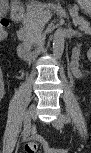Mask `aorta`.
Instances as JSON below:
<instances>
[{"instance_id":"1","label":"aorta","mask_w":91,"mask_h":153,"mask_svg":"<svg viewBox=\"0 0 91 153\" xmlns=\"http://www.w3.org/2000/svg\"><path fill=\"white\" fill-rule=\"evenodd\" d=\"M64 35L60 30H57L53 36V56L60 59L64 51Z\"/></svg>"}]
</instances>
